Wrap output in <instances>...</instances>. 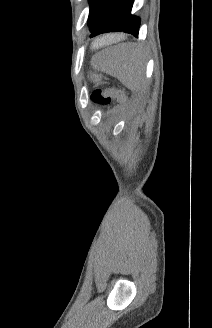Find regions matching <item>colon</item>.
Returning a JSON list of instances; mask_svg holds the SVG:
<instances>
[{"label":"colon","instance_id":"colon-1","mask_svg":"<svg viewBox=\"0 0 212 328\" xmlns=\"http://www.w3.org/2000/svg\"><path fill=\"white\" fill-rule=\"evenodd\" d=\"M122 98V92L115 88H110L104 91L96 90L91 95V100L99 107L108 105L111 100H121Z\"/></svg>","mask_w":212,"mask_h":328}]
</instances>
